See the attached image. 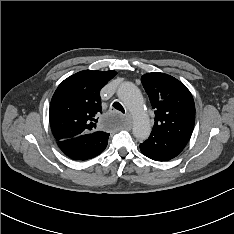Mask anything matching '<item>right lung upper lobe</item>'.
I'll list each match as a JSON object with an SVG mask.
<instances>
[{
  "instance_id": "1",
  "label": "right lung upper lobe",
  "mask_w": 234,
  "mask_h": 234,
  "mask_svg": "<svg viewBox=\"0 0 234 234\" xmlns=\"http://www.w3.org/2000/svg\"><path fill=\"white\" fill-rule=\"evenodd\" d=\"M117 73L84 70L65 79L56 89L50 104L49 119L57 141L99 132L101 88Z\"/></svg>"
}]
</instances>
